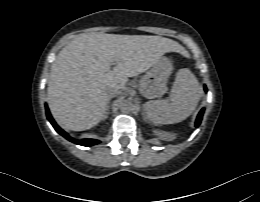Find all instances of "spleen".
Masks as SVG:
<instances>
[{
  "instance_id": "obj_1",
  "label": "spleen",
  "mask_w": 260,
  "mask_h": 202,
  "mask_svg": "<svg viewBox=\"0 0 260 202\" xmlns=\"http://www.w3.org/2000/svg\"><path fill=\"white\" fill-rule=\"evenodd\" d=\"M200 100V86L189 69L176 73L169 100L146 102L148 118L154 123L173 124L185 120L196 109Z\"/></svg>"
}]
</instances>
